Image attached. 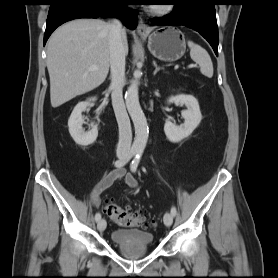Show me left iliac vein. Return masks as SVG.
Segmentation results:
<instances>
[{"label":"left iliac vein","instance_id":"4c4485c4","mask_svg":"<svg viewBox=\"0 0 278 278\" xmlns=\"http://www.w3.org/2000/svg\"><path fill=\"white\" fill-rule=\"evenodd\" d=\"M163 220H164V224H165L166 226H171L172 223H173V215H172L171 213L167 212V213L164 215Z\"/></svg>","mask_w":278,"mask_h":278}]
</instances>
